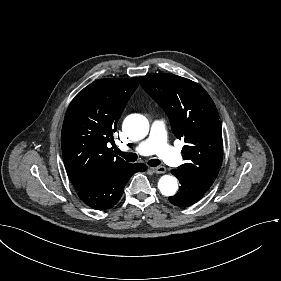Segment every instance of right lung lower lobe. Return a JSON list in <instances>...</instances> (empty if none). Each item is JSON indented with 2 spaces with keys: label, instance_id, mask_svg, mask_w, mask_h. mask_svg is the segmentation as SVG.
<instances>
[{
  "label": "right lung lower lobe",
  "instance_id": "obj_1",
  "mask_svg": "<svg viewBox=\"0 0 281 281\" xmlns=\"http://www.w3.org/2000/svg\"><path fill=\"white\" fill-rule=\"evenodd\" d=\"M146 169V165L142 163L132 164L128 168L109 176L97 185L78 191V196L85 204L93 209H109L121 198L124 187L130 177L134 173L145 171Z\"/></svg>",
  "mask_w": 281,
  "mask_h": 281
}]
</instances>
